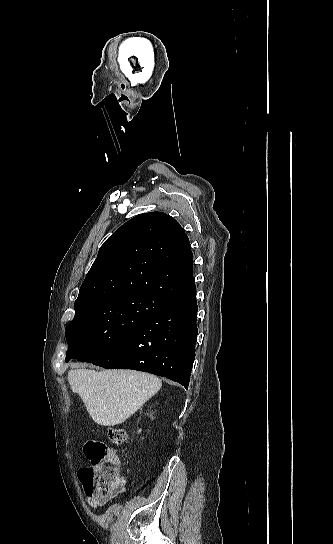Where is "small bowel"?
Segmentation results:
<instances>
[{
	"label": "small bowel",
	"instance_id": "small-bowel-1",
	"mask_svg": "<svg viewBox=\"0 0 333 544\" xmlns=\"http://www.w3.org/2000/svg\"><path fill=\"white\" fill-rule=\"evenodd\" d=\"M125 490V480L122 479L116 487L109 490H96L93 492L85 491V498L87 503L93 509H98L103 507L105 504H107L118 495L123 494Z\"/></svg>",
	"mask_w": 333,
	"mask_h": 544
}]
</instances>
